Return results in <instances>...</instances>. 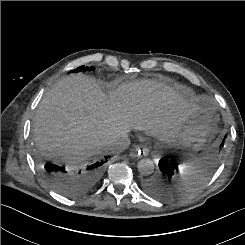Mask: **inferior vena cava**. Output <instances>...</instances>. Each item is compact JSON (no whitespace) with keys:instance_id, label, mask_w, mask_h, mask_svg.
Returning a JSON list of instances; mask_svg holds the SVG:
<instances>
[{"instance_id":"1","label":"inferior vena cava","mask_w":245,"mask_h":245,"mask_svg":"<svg viewBox=\"0 0 245 245\" xmlns=\"http://www.w3.org/2000/svg\"><path fill=\"white\" fill-rule=\"evenodd\" d=\"M130 145V139L127 135H123L116 140L107 143L106 147L113 153H121Z\"/></svg>"}]
</instances>
